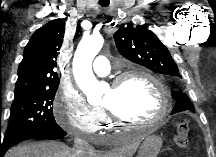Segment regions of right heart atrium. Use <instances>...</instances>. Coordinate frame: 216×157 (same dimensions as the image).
Wrapping results in <instances>:
<instances>
[{"instance_id":"1","label":"right heart atrium","mask_w":216,"mask_h":157,"mask_svg":"<svg viewBox=\"0 0 216 157\" xmlns=\"http://www.w3.org/2000/svg\"><path fill=\"white\" fill-rule=\"evenodd\" d=\"M53 114L60 126L82 136L95 134L105 120L103 109L89 104L74 88H64L57 93Z\"/></svg>"}]
</instances>
